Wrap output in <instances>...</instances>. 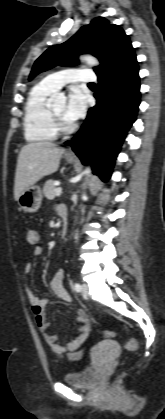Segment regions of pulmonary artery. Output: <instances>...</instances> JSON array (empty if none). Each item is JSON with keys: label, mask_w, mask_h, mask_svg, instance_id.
Masks as SVG:
<instances>
[{"label": "pulmonary artery", "mask_w": 165, "mask_h": 419, "mask_svg": "<svg viewBox=\"0 0 165 419\" xmlns=\"http://www.w3.org/2000/svg\"><path fill=\"white\" fill-rule=\"evenodd\" d=\"M96 80V74L93 69L86 67H77L66 69L47 75L41 82L52 90H58L70 82L90 83Z\"/></svg>", "instance_id": "e3ab8cb5"}]
</instances>
